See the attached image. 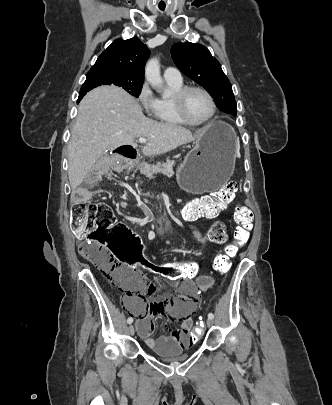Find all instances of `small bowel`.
Instances as JSON below:
<instances>
[{
  "mask_svg": "<svg viewBox=\"0 0 332 405\" xmlns=\"http://www.w3.org/2000/svg\"><path fill=\"white\" fill-rule=\"evenodd\" d=\"M141 169L148 170L150 166L142 164ZM99 181H101V172H84L83 186H98ZM186 212L193 215L192 221L200 216L190 210ZM211 227H225V224L222 221H216ZM192 231L200 243L209 241L207 233L203 234L196 228ZM121 274V289L130 294L125 299L124 306L131 315L136 317L137 331L145 344L160 353H189L191 345L189 334L194 324L191 314L201 305V298L197 297V291L204 292L211 288L213 278L209 275H193V278L197 277L196 281L192 278L191 281L176 282L177 289H167L165 302H159L155 298L158 291L157 285L144 278L139 271L131 267H122ZM157 315L181 319V323L176 328H170L169 335L155 339L151 334L156 328L154 318Z\"/></svg>",
  "mask_w": 332,
  "mask_h": 405,
  "instance_id": "obj_1",
  "label": "small bowel"
}]
</instances>
